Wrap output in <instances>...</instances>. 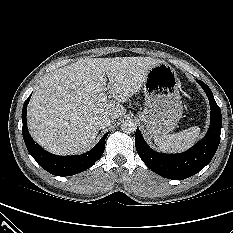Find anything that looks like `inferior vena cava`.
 Masks as SVG:
<instances>
[{"label":"inferior vena cava","mask_w":233,"mask_h":233,"mask_svg":"<svg viewBox=\"0 0 233 233\" xmlns=\"http://www.w3.org/2000/svg\"><path fill=\"white\" fill-rule=\"evenodd\" d=\"M114 121V117L112 115L108 114H102L95 116L94 123L96 128L98 129H104L108 126H110Z\"/></svg>","instance_id":"602c4592"}]
</instances>
